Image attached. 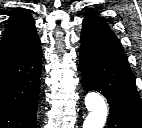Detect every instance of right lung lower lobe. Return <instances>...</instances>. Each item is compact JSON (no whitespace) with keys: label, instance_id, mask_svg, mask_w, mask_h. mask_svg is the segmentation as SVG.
Here are the masks:
<instances>
[{"label":"right lung lower lobe","instance_id":"98d812e1","mask_svg":"<svg viewBox=\"0 0 142 128\" xmlns=\"http://www.w3.org/2000/svg\"><path fill=\"white\" fill-rule=\"evenodd\" d=\"M40 40L0 63V128H35L42 70Z\"/></svg>","mask_w":142,"mask_h":128}]
</instances>
